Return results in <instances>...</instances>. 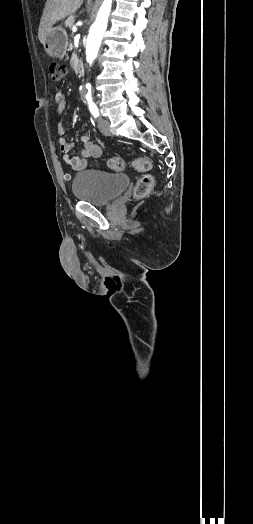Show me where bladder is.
Wrapping results in <instances>:
<instances>
[{"label":"bladder","instance_id":"1","mask_svg":"<svg viewBox=\"0 0 253 524\" xmlns=\"http://www.w3.org/2000/svg\"><path fill=\"white\" fill-rule=\"evenodd\" d=\"M129 184L126 174L83 170L74 175L72 191L77 200L100 206L113 202Z\"/></svg>","mask_w":253,"mask_h":524}]
</instances>
